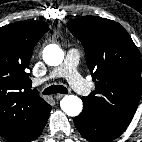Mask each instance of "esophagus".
<instances>
[{"instance_id":"esophagus-1","label":"esophagus","mask_w":142,"mask_h":142,"mask_svg":"<svg viewBox=\"0 0 142 142\" xmlns=\"http://www.w3.org/2000/svg\"><path fill=\"white\" fill-rule=\"evenodd\" d=\"M64 96H65V94H56L54 97H55L56 100H60Z\"/></svg>"}]
</instances>
